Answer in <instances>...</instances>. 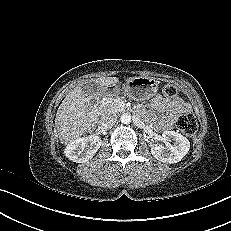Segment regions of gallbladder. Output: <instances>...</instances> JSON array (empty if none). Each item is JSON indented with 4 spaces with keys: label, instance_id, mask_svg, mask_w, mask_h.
I'll return each mask as SVG.
<instances>
[{
    "label": "gallbladder",
    "instance_id": "gallbladder-1",
    "mask_svg": "<svg viewBox=\"0 0 231 231\" xmlns=\"http://www.w3.org/2000/svg\"><path fill=\"white\" fill-rule=\"evenodd\" d=\"M81 90L83 92L84 95L86 96H92V95H96L98 92L101 91V87L91 81V82H86L81 86Z\"/></svg>",
    "mask_w": 231,
    "mask_h": 231
}]
</instances>
